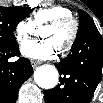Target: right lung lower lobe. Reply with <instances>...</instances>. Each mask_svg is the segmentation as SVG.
<instances>
[{
  "instance_id": "1",
  "label": "right lung lower lobe",
  "mask_w": 103,
  "mask_h": 103,
  "mask_svg": "<svg viewBox=\"0 0 103 103\" xmlns=\"http://www.w3.org/2000/svg\"><path fill=\"white\" fill-rule=\"evenodd\" d=\"M14 56H20L19 46H0V103H14L20 86L33 73L31 63L26 58L8 62V59Z\"/></svg>"
}]
</instances>
